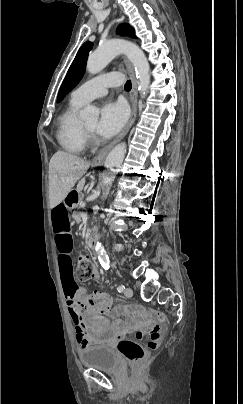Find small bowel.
I'll return each mask as SVG.
<instances>
[{
	"mask_svg": "<svg viewBox=\"0 0 243 404\" xmlns=\"http://www.w3.org/2000/svg\"><path fill=\"white\" fill-rule=\"evenodd\" d=\"M51 223L58 251V264L68 311L75 326L76 341L80 347L88 345H114L122 338L127 327L108 317L86 315L77 305L79 288L73 273L72 237L68 210L64 202L51 209ZM111 332L108 334V332Z\"/></svg>",
	"mask_w": 243,
	"mask_h": 404,
	"instance_id": "c3829d8e",
	"label": "small bowel"
}]
</instances>
